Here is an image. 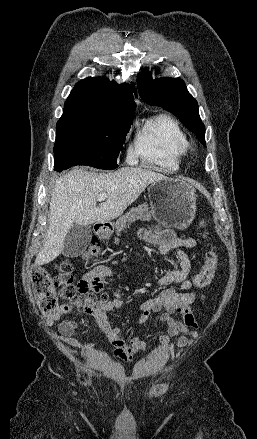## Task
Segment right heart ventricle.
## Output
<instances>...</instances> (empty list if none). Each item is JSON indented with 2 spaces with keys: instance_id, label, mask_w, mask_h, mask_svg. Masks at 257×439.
<instances>
[{
  "instance_id": "1",
  "label": "right heart ventricle",
  "mask_w": 257,
  "mask_h": 439,
  "mask_svg": "<svg viewBox=\"0 0 257 439\" xmlns=\"http://www.w3.org/2000/svg\"><path fill=\"white\" fill-rule=\"evenodd\" d=\"M190 149L187 135L172 117L161 114L137 130L134 153L139 160L163 172H175Z\"/></svg>"
}]
</instances>
